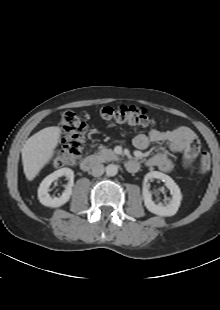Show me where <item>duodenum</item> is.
I'll return each mask as SVG.
<instances>
[{
  "label": "duodenum",
  "mask_w": 220,
  "mask_h": 310,
  "mask_svg": "<svg viewBox=\"0 0 220 310\" xmlns=\"http://www.w3.org/2000/svg\"><path fill=\"white\" fill-rule=\"evenodd\" d=\"M98 165H99V159L95 156L85 157L80 162V167L85 172L92 171ZM126 167H127L128 171L135 172L139 168V163L136 160H129L126 163Z\"/></svg>",
  "instance_id": "1"
}]
</instances>
